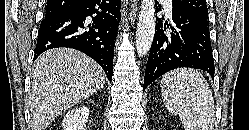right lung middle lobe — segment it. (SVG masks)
Instances as JSON below:
<instances>
[{
  "instance_id": "1",
  "label": "right lung middle lobe",
  "mask_w": 249,
  "mask_h": 130,
  "mask_svg": "<svg viewBox=\"0 0 249 130\" xmlns=\"http://www.w3.org/2000/svg\"><path fill=\"white\" fill-rule=\"evenodd\" d=\"M50 16H52V15H48V14H46V16L45 17H50ZM54 16V15H53Z\"/></svg>"
}]
</instances>
